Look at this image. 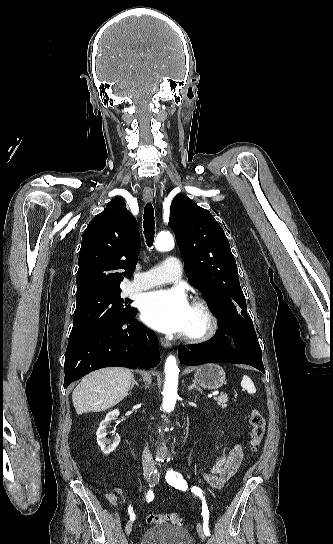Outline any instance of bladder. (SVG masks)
<instances>
[{"mask_svg": "<svg viewBox=\"0 0 333 544\" xmlns=\"http://www.w3.org/2000/svg\"><path fill=\"white\" fill-rule=\"evenodd\" d=\"M139 544H194L190 533L176 525H161L146 529Z\"/></svg>", "mask_w": 333, "mask_h": 544, "instance_id": "bladder-1", "label": "bladder"}]
</instances>
